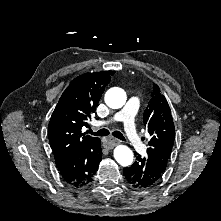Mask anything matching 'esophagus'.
<instances>
[{
  "label": "esophagus",
  "instance_id": "esophagus-1",
  "mask_svg": "<svg viewBox=\"0 0 221 221\" xmlns=\"http://www.w3.org/2000/svg\"><path fill=\"white\" fill-rule=\"evenodd\" d=\"M119 143H120L119 140L112 139L111 137H109L103 142V146L105 148L112 149L115 145H117Z\"/></svg>",
  "mask_w": 221,
  "mask_h": 221
}]
</instances>
